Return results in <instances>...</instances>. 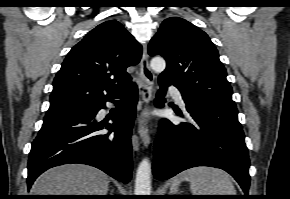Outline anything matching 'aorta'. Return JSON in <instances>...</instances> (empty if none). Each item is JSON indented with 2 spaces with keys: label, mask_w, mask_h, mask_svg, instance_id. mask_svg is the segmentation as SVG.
<instances>
[{
  "label": "aorta",
  "mask_w": 290,
  "mask_h": 199,
  "mask_svg": "<svg viewBox=\"0 0 290 199\" xmlns=\"http://www.w3.org/2000/svg\"><path fill=\"white\" fill-rule=\"evenodd\" d=\"M150 66L155 72H163L166 68V62L162 57H154ZM151 174V164L148 158H144L137 168L135 195H151Z\"/></svg>",
  "instance_id": "obj_1"
}]
</instances>
